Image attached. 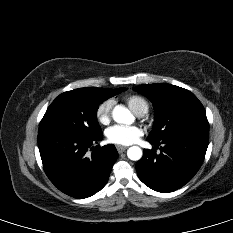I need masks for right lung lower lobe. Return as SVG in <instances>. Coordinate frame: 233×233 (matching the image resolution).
<instances>
[{
  "label": "right lung lower lobe",
  "mask_w": 233,
  "mask_h": 233,
  "mask_svg": "<svg viewBox=\"0 0 233 233\" xmlns=\"http://www.w3.org/2000/svg\"><path fill=\"white\" fill-rule=\"evenodd\" d=\"M102 138V133L93 137L55 131L38 134L44 171L60 191L82 199L105 186L118 152L113 144L92 147Z\"/></svg>",
  "instance_id": "obj_1"
}]
</instances>
